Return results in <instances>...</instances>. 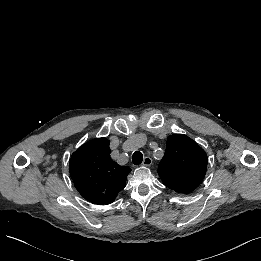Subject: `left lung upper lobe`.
I'll return each instance as SVG.
<instances>
[{
	"instance_id": "obj_1",
	"label": "left lung upper lobe",
	"mask_w": 261,
	"mask_h": 261,
	"mask_svg": "<svg viewBox=\"0 0 261 261\" xmlns=\"http://www.w3.org/2000/svg\"><path fill=\"white\" fill-rule=\"evenodd\" d=\"M207 155L191 138L183 134L168 137L166 152L158 166L163 183L178 193H189L202 182Z\"/></svg>"
}]
</instances>
